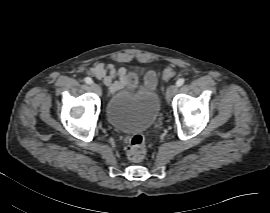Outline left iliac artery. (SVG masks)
Segmentation results:
<instances>
[{"instance_id": "44dca946", "label": "left iliac artery", "mask_w": 270, "mask_h": 213, "mask_svg": "<svg viewBox=\"0 0 270 213\" xmlns=\"http://www.w3.org/2000/svg\"><path fill=\"white\" fill-rule=\"evenodd\" d=\"M185 80L184 78H179L177 81H176V85L177 87H180L184 84Z\"/></svg>"}]
</instances>
